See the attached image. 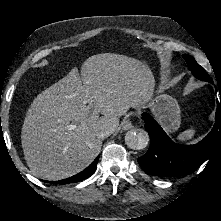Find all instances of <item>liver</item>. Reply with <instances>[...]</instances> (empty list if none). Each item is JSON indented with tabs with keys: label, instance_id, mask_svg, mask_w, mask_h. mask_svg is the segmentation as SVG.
Masks as SVG:
<instances>
[{
	"label": "liver",
	"instance_id": "liver-1",
	"mask_svg": "<svg viewBox=\"0 0 221 221\" xmlns=\"http://www.w3.org/2000/svg\"><path fill=\"white\" fill-rule=\"evenodd\" d=\"M154 76L141 61L119 54L89 57L41 92L24 119L21 143L35 177L55 181L87 167L100 153L102 127L117 130L119 117L153 95ZM101 115V116H100ZM75 130H68L70 122Z\"/></svg>",
	"mask_w": 221,
	"mask_h": 221
}]
</instances>
